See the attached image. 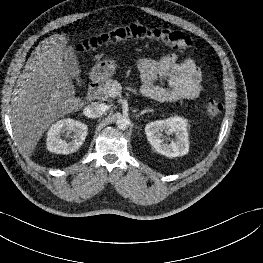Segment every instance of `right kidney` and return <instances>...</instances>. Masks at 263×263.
<instances>
[{"instance_id": "1", "label": "right kidney", "mask_w": 263, "mask_h": 263, "mask_svg": "<svg viewBox=\"0 0 263 263\" xmlns=\"http://www.w3.org/2000/svg\"><path fill=\"white\" fill-rule=\"evenodd\" d=\"M70 133H73L70 141L62 139L61 136L69 137ZM87 133V125L80 121L70 118L59 120L47 132V149L56 154H71L83 144Z\"/></svg>"}]
</instances>
